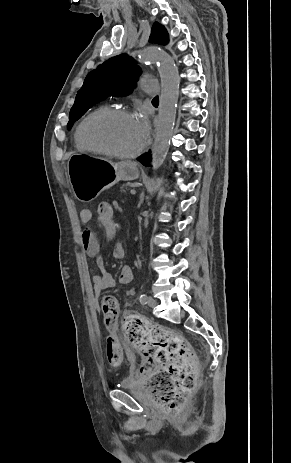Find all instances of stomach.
I'll return each mask as SVG.
<instances>
[{"instance_id":"0dacf381","label":"stomach","mask_w":291,"mask_h":463,"mask_svg":"<svg viewBox=\"0 0 291 463\" xmlns=\"http://www.w3.org/2000/svg\"><path fill=\"white\" fill-rule=\"evenodd\" d=\"M67 171L73 193L82 202L94 200L119 179L134 180L139 177L138 168L131 162L114 163L88 153L71 154L67 161Z\"/></svg>"}]
</instances>
